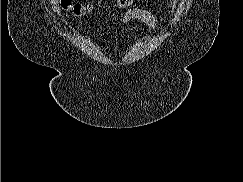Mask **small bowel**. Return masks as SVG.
<instances>
[{
    "mask_svg": "<svg viewBox=\"0 0 243 182\" xmlns=\"http://www.w3.org/2000/svg\"><path fill=\"white\" fill-rule=\"evenodd\" d=\"M130 21L141 22L151 29L157 27L156 17L149 11L142 8H131L124 13L122 23L125 24Z\"/></svg>",
    "mask_w": 243,
    "mask_h": 182,
    "instance_id": "1",
    "label": "small bowel"
}]
</instances>
